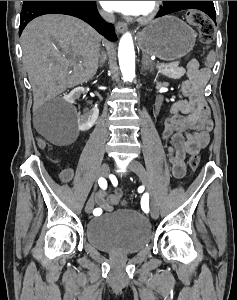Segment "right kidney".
I'll return each instance as SVG.
<instances>
[{
	"instance_id": "obj_1",
	"label": "right kidney",
	"mask_w": 237,
	"mask_h": 300,
	"mask_svg": "<svg viewBox=\"0 0 237 300\" xmlns=\"http://www.w3.org/2000/svg\"><path fill=\"white\" fill-rule=\"evenodd\" d=\"M82 93H84V87H76V89H73V91L67 95L69 103H75L76 99H79ZM98 117L99 109H97V107H93L90 111H85L84 115L78 113L77 119L79 131H89V129L95 125Z\"/></svg>"
}]
</instances>
